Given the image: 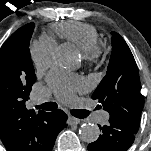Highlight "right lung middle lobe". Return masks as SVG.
Returning <instances> with one entry per match:
<instances>
[{"mask_svg":"<svg viewBox=\"0 0 151 151\" xmlns=\"http://www.w3.org/2000/svg\"><path fill=\"white\" fill-rule=\"evenodd\" d=\"M34 23L14 32L0 48V92L22 91L36 81L29 51Z\"/></svg>","mask_w":151,"mask_h":151,"instance_id":"1","label":"right lung middle lobe"}]
</instances>
